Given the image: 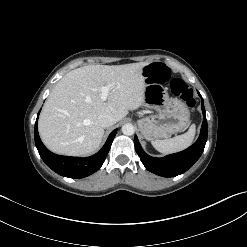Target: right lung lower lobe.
<instances>
[{"label":"right lung lower lobe","mask_w":247,"mask_h":247,"mask_svg":"<svg viewBox=\"0 0 247 247\" xmlns=\"http://www.w3.org/2000/svg\"><path fill=\"white\" fill-rule=\"evenodd\" d=\"M37 120L35 123L34 137L36 147L42 160L47 166H49L53 171H55L59 175L75 179L89 176L100 169V167L105 161V158L111 147L112 141L117 132V129L111 132L105 145L98 153H96L93 156L86 158L60 156L50 152L43 145L37 130Z\"/></svg>","instance_id":"right-lung-lower-lobe-1"}]
</instances>
